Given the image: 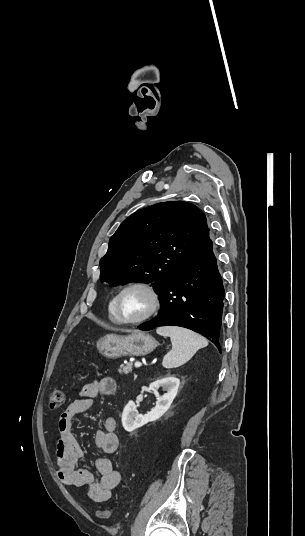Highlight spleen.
<instances>
[{
    "mask_svg": "<svg viewBox=\"0 0 305 536\" xmlns=\"http://www.w3.org/2000/svg\"><path fill=\"white\" fill-rule=\"evenodd\" d=\"M159 336H168L171 340L172 350L163 358L162 366L171 370V368H179L186 362H189L200 348H206L208 342L203 336L186 330V328H178V326H164L157 328Z\"/></svg>",
    "mask_w": 305,
    "mask_h": 536,
    "instance_id": "obj_1",
    "label": "spleen"
}]
</instances>
